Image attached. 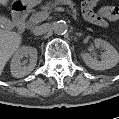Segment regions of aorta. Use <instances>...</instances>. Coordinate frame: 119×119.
<instances>
[{
	"label": "aorta",
	"mask_w": 119,
	"mask_h": 119,
	"mask_svg": "<svg viewBox=\"0 0 119 119\" xmlns=\"http://www.w3.org/2000/svg\"><path fill=\"white\" fill-rule=\"evenodd\" d=\"M53 31L57 35H63L68 30V24L64 20H59L53 23Z\"/></svg>",
	"instance_id": "obj_1"
}]
</instances>
